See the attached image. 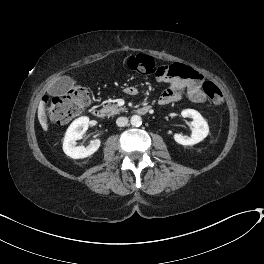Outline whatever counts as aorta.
I'll return each instance as SVG.
<instances>
[{
	"label": "aorta",
	"instance_id": "obj_1",
	"mask_svg": "<svg viewBox=\"0 0 264 264\" xmlns=\"http://www.w3.org/2000/svg\"><path fill=\"white\" fill-rule=\"evenodd\" d=\"M131 125L138 127L142 124V119L139 115H133L130 119Z\"/></svg>",
	"mask_w": 264,
	"mask_h": 264
}]
</instances>
